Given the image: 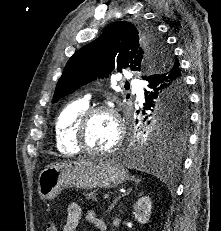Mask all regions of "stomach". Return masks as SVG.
<instances>
[{"mask_svg":"<svg viewBox=\"0 0 221 231\" xmlns=\"http://www.w3.org/2000/svg\"><path fill=\"white\" fill-rule=\"evenodd\" d=\"M127 179V172L113 159L59 162L50 164L40 173L38 194L41 199L51 200L68 187L109 189Z\"/></svg>","mask_w":221,"mask_h":231,"instance_id":"obj_1","label":"stomach"}]
</instances>
